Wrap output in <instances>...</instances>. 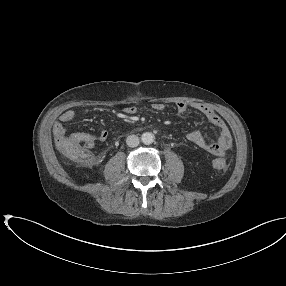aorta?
Instances as JSON below:
<instances>
[{"label": "aorta", "mask_w": 286, "mask_h": 286, "mask_svg": "<svg viewBox=\"0 0 286 286\" xmlns=\"http://www.w3.org/2000/svg\"><path fill=\"white\" fill-rule=\"evenodd\" d=\"M154 135L151 132H144L141 136V140L145 145H150L154 142Z\"/></svg>", "instance_id": "aorta-1"}]
</instances>
